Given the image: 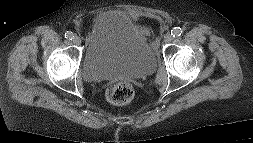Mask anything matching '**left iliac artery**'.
<instances>
[{
    "label": "left iliac artery",
    "instance_id": "obj_1",
    "mask_svg": "<svg viewBox=\"0 0 253 143\" xmlns=\"http://www.w3.org/2000/svg\"><path fill=\"white\" fill-rule=\"evenodd\" d=\"M182 33H183V30L180 27H175V28H173V30H171V35L173 37H179V36H181Z\"/></svg>",
    "mask_w": 253,
    "mask_h": 143
}]
</instances>
